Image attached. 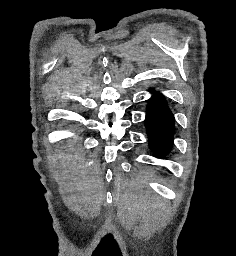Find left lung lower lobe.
I'll use <instances>...</instances> for the list:
<instances>
[{"label":"left lung lower lobe","mask_w":236,"mask_h":256,"mask_svg":"<svg viewBox=\"0 0 236 256\" xmlns=\"http://www.w3.org/2000/svg\"><path fill=\"white\" fill-rule=\"evenodd\" d=\"M145 126L151 149L163 157L171 150L174 134L173 116L163 96L156 94L149 100Z\"/></svg>","instance_id":"obj_1"}]
</instances>
